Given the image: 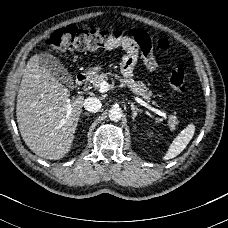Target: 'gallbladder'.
<instances>
[{"label": "gallbladder", "mask_w": 228, "mask_h": 228, "mask_svg": "<svg viewBox=\"0 0 228 228\" xmlns=\"http://www.w3.org/2000/svg\"><path fill=\"white\" fill-rule=\"evenodd\" d=\"M39 65L50 70L61 83L66 84L69 87L73 84V76L53 55L41 53L39 55Z\"/></svg>", "instance_id": "bac80fb5"}]
</instances>
